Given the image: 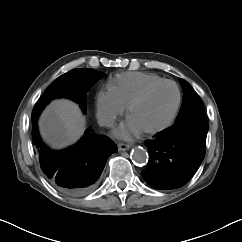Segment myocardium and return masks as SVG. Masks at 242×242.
<instances>
[{"label": "myocardium", "mask_w": 242, "mask_h": 242, "mask_svg": "<svg viewBox=\"0 0 242 242\" xmlns=\"http://www.w3.org/2000/svg\"><path fill=\"white\" fill-rule=\"evenodd\" d=\"M165 84L173 85L175 87L176 91H177V101H176V105L174 107V110H173L171 116L169 117V119L165 123H163L162 125H160L156 128H153V129L141 130V132L144 135L158 134V133L168 129L169 127H171L173 125V123L175 122V120L178 116V113H179V110H180V107H181V103H182V93H181L180 87L178 86V84L176 82H174L172 80H166V79L159 81V82H156V83H153V84L149 85L148 87H146L138 96H136L129 103V105L127 107V116L130 118V115H131L133 109L136 106H138L139 104L144 102L154 90H156L158 87L165 85Z\"/></svg>", "instance_id": "1"}]
</instances>
